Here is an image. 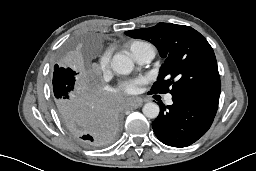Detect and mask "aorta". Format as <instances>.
Here are the masks:
<instances>
[{"label":"aorta","instance_id":"762f6f07","mask_svg":"<svg viewBox=\"0 0 256 171\" xmlns=\"http://www.w3.org/2000/svg\"><path fill=\"white\" fill-rule=\"evenodd\" d=\"M111 67L116 73L126 75L132 72L134 63L127 55L116 53L111 60ZM142 111L147 118L154 119L159 115L160 108L156 103L148 102Z\"/></svg>","mask_w":256,"mask_h":171}]
</instances>
